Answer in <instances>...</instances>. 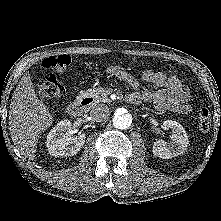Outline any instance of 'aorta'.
<instances>
[{
	"label": "aorta",
	"mask_w": 221,
	"mask_h": 221,
	"mask_svg": "<svg viewBox=\"0 0 221 221\" xmlns=\"http://www.w3.org/2000/svg\"><path fill=\"white\" fill-rule=\"evenodd\" d=\"M112 121L115 128L125 130L131 126L133 116L127 109L119 108L115 111Z\"/></svg>",
	"instance_id": "762f6f07"
}]
</instances>
